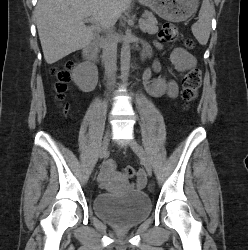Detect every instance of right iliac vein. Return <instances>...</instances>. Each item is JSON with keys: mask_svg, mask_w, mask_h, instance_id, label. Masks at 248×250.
I'll return each instance as SVG.
<instances>
[{"mask_svg": "<svg viewBox=\"0 0 248 250\" xmlns=\"http://www.w3.org/2000/svg\"><path fill=\"white\" fill-rule=\"evenodd\" d=\"M109 141H110V128H108V130L106 131V134H105V136L103 138L101 150H100V153H99L100 158H103V157L106 156V154L108 152Z\"/></svg>", "mask_w": 248, "mask_h": 250, "instance_id": "right-iliac-vein-1", "label": "right iliac vein"}]
</instances>
